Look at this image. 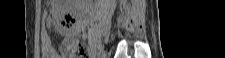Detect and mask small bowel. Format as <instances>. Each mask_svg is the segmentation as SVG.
<instances>
[{"label":"small bowel","instance_id":"1","mask_svg":"<svg viewBox=\"0 0 225 58\" xmlns=\"http://www.w3.org/2000/svg\"><path fill=\"white\" fill-rule=\"evenodd\" d=\"M52 24V19L49 17L46 19V25L50 26ZM77 29H68L66 31V38L64 39V41L62 42V44L60 45V49L59 52L60 54H56V51L51 43V40H47L43 46H42V51L44 53H46L50 58H61L64 56V53L66 51L67 48H69L70 46L75 45L76 39L75 36L77 34Z\"/></svg>","mask_w":225,"mask_h":58}]
</instances>
